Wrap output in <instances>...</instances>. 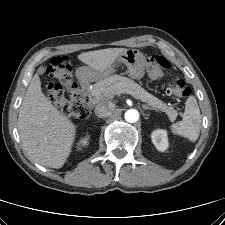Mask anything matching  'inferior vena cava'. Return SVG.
Wrapping results in <instances>:
<instances>
[{"mask_svg":"<svg viewBox=\"0 0 225 225\" xmlns=\"http://www.w3.org/2000/svg\"><path fill=\"white\" fill-rule=\"evenodd\" d=\"M114 110V106L112 103L109 102H99L95 106V114L96 116L103 118V117H108L111 115L112 111Z\"/></svg>","mask_w":225,"mask_h":225,"instance_id":"obj_1","label":"inferior vena cava"}]
</instances>
